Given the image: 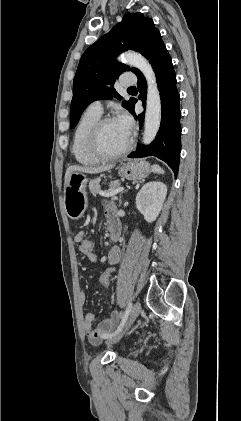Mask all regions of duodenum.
<instances>
[{
    "label": "duodenum",
    "mask_w": 241,
    "mask_h": 421,
    "mask_svg": "<svg viewBox=\"0 0 241 421\" xmlns=\"http://www.w3.org/2000/svg\"><path fill=\"white\" fill-rule=\"evenodd\" d=\"M108 227L111 239L118 240L121 235V225L116 215L108 218Z\"/></svg>",
    "instance_id": "duodenum-1"
}]
</instances>
